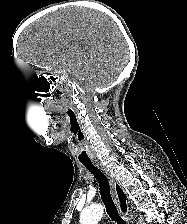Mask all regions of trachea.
<instances>
[{
	"instance_id": "1",
	"label": "trachea",
	"mask_w": 187,
	"mask_h": 224,
	"mask_svg": "<svg viewBox=\"0 0 187 224\" xmlns=\"http://www.w3.org/2000/svg\"><path fill=\"white\" fill-rule=\"evenodd\" d=\"M94 176L99 183L100 195L106 207L109 217L117 222V224H126L125 221L119 216L118 210L112 200L110 194V186L106 175L96 167L92 162H81Z\"/></svg>"
}]
</instances>
